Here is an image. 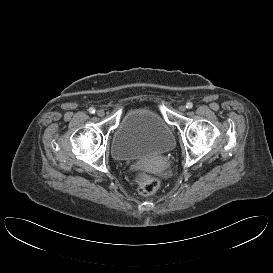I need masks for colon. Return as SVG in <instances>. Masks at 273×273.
I'll use <instances>...</instances> for the list:
<instances>
[{
	"mask_svg": "<svg viewBox=\"0 0 273 273\" xmlns=\"http://www.w3.org/2000/svg\"><path fill=\"white\" fill-rule=\"evenodd\" d=\"M135 181L138 184L139 193L144 196L154 194L160 186V181L157 177L145 172H137Z\"/></svg>",
	"mask_w": 273,
	"mask_h": 273,
	"instance_id": "colon-1",
	"label": "colon"
}]
</instances>
